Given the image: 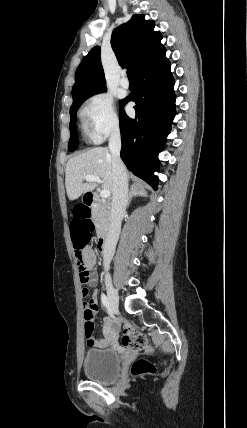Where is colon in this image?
<instances>
[{
  "label": "colon",
  "instance_id": "1",
  "mask_svg": "<svg viewBox=\"0 0 247 428\" xmlns=\"http://www.w3.org/2000/svg\"><path fill=\"white\" fill-rule=\"evenodd\" d=\"M71 221V246L75 248V257L79 269L80 281L83 285V294L88 293V283L91 280V269L84 260L82 247L86 246V239L93 238L94 224L92 217H89L88 204H71L70 205ZM94 312L92 307L87 303L84 304V331L86 341L93 339ZM124 330L123 345L131 350H142L148 346V339L143 333H135L132 326L126 320L120 321ZM155 367L144 359H139L131 366V374L138 376L154 372Z\"/></svg>",
  "mask_w": 247,
  "mask_h": 428
}]
</instances>
